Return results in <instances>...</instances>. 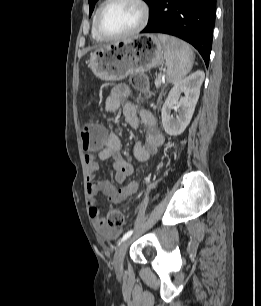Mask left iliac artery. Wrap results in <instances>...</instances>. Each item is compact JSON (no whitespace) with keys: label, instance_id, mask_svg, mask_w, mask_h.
Listing matches in <instances>:
<instances>
[{"label":"left iliac artery","instance_id":"left-iliac-artery-1","mask_svg":"<svg viewBox=\"0 0 261 306\" xmlns=\"http://www.w3.org/2000/svg\"><path fill=\"white\" fill-rule=\"evenodd\" d=\"M132 234H133V230H130V231L126 232L123 235V237L121 238V242H123L124 240L128 239Z\"/></svg>","mask_w":261,"mask_h":306}]
</instances>
